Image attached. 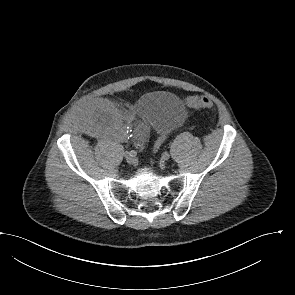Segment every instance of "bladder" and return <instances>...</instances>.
Masks as SVG:
<instances>
[{
	"instance_id": "obj_1",
	"label": "bladder",
	"mask_w": 295,
	"mask_h": 295,
	"mask_svg": "<svg viewBox=\"0 0 295 295\" xmlns=\"http://www.w3.org/2000/svg\"><path fill=\"white\" fill-rule=\"evenodd\" d=\"M137 112L149 121L153 129L166 133L182 124L185 105L181 99L169 92L152 91L140 98Z\"/></svg>"
}]
</instances>
